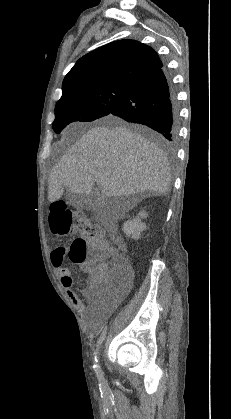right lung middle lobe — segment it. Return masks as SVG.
Returning a JSON list of instances; mask_svg holds the SVG:
<instances>
[{"label": "right lung middle lobe", "mask_w": 231, "mask_h": 419, "mask_svg": "<svg viewBox=\"0 0 231 419\" xmlns=\"http://www.w3.org/2000/svg\"><path fill=\"white\" fill-rule=\"evenodd\" d=\"M132 87L108 85L83 88L59 100L55 107L53 129L60 133L68 124L88 122L104 117L116 108L129 94Z\"/></svg>", "instance_id": "1"}]
</instances>
